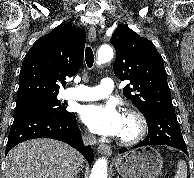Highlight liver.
<instances>
[{
    "instance_id": "obj_1",
    "label": "liver",
    "mask_w": 194,
    "mask_h": 178,
    "mask_svg": "<svg viewBox=\"0 0 194 178\" xmlns=\"http://www.w3.org/2000/svg\"><path fill=\"white\" fill-rule=\"evenodd\" d=\"M84 159L69 145L54 139H32L6 157L3 178H74Z\"/></svg>"
}]
</instances>
